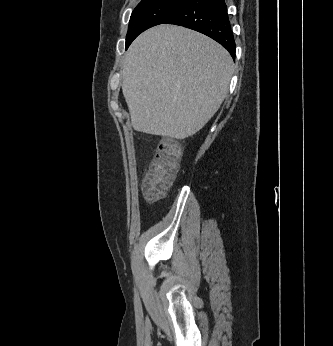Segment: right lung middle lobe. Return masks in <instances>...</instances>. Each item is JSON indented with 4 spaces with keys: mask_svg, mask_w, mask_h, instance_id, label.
Instances as JSON below:
<instances>
[{
    "mask_svg": "<svg viewBox=\"0 0 333 346\" xmlns=\"http://www.w3.org/2000/svg\"><path fill=\"white\" fill-rule=\"evenodd\" d=\"M185 0H142L132 12L126 36V49L146 29L162 24Z\"/></svg>",
    "mask_w": 333,
    "mask_h": 346,
    "instance_id": "dd1d6c3e",
    "label": "right lung middle lobe"
}]
</instances>
